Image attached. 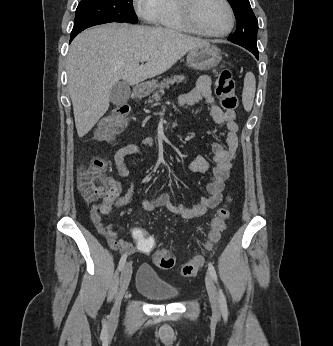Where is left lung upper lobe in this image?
Listing matches in <instances>:
<instances>
[{
	"label": "left lung upper lobe",
	"mask_w": 333,
	"mask_h": 346,
	"mask_svg": "<svg viewBox=\"0 0 333 346\" xmlns=\"http://www.w3.org/2000/svg\"><path fill=\"white\" fill-rule=\"evenodd\" d=\"M237 19V29L229 40L247 50L257 49L258 21L251 9L249 0H228Z\"/></svg>",
	"instance_id": "left-lung-upper-lobe-1"
}]
</instances>
